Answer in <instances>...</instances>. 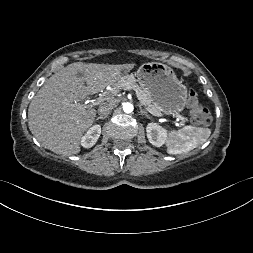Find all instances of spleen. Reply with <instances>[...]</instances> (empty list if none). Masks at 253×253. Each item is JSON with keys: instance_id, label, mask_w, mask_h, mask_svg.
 <instances>
[{"instance_id": "obj_1", "label": "spleen", "mask_w": 253, "mask_h": 253, "mask_svg": "<svg viewBox=\"0 0 253 253\" xmlns=\"http://www.w3.org/2000/svg\"><path fill=\"white\" fill-rule=\"evenodd\" d=\"M211 134L209 128L185 126L179 130H172L167 141V152L177 155L187 153L202 145Z\"/></svg>"}]
</instances>
